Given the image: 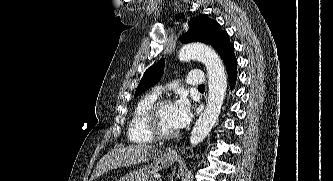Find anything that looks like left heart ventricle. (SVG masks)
Segmentation results:
<instances>
[{"instance_id": "left-heart-ventricle-1", "label": "left heart ventricle", "mask_w": 333, "mask_h": 181, "mask_svg": "<svg viewBox=\"0 0 333 181\" xmlns=\"http://www.w3.org/2000/svg\"><path fill=\"white\" fill-rule=\"evenodd\" d=\"M159 123L164 131L171 132L177 130L173 123L172 104H167L161 109L159 114Z\"/></svg>"}]
</instances>
